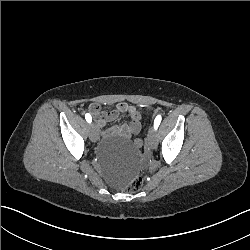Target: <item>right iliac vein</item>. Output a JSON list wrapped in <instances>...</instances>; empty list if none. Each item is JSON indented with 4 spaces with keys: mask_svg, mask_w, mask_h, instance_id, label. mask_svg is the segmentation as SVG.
<instances>
[{
    "mask_svg": "<svg viewBox=\"0 0 250 250\" xmlns=\"http://www.w3.org/2000/svg\"><path fill=\"white\" fill-rule=\"evenodd\" d=\"M89 138L91 141L96 142L98 138V131L95 124L88 126Z\"/></svg>",
    "mask_w": 250,
    "mask_h": 250,
    "instance_id": "obj_1",
    "label": "right iliac vein"
}]
</instances>
